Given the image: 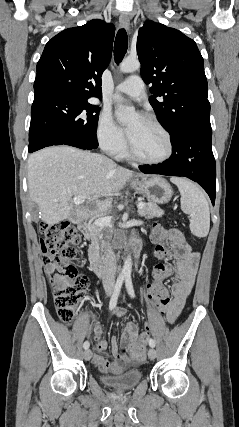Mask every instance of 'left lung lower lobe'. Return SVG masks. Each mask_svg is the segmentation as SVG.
<instances>
[{
  "instance_id": "obj_1",
  "label": "left lung lower lobe",
  "mask_w": 239,
  "mask_h": 427,
  "mask_svg": "<svg viewBox=\"0 0 239 427\" xmlns=\"http://www.w3.org/2000/svg\"><path fill=\"white\" fill-rule=\"evenodd\" d=\"M212 130L189 127L179 130L171 139L172 155L167 161L141 166L145 174L187 177L203 187L214 205L216 195V163L211 148Z\"/></svg>"
}]
</instances>
